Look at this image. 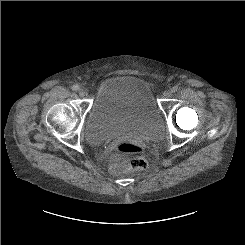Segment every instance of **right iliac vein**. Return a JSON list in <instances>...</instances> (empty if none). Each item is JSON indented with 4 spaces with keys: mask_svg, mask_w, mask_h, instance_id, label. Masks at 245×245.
<instances>
[{
    "mask_svg": "<svg viewBox=\"0 0 245 245\" xmlns=\"http://www.w3.org/2000/svg\"><path fill=\"white\" fill-rule=\"evenodd\" d=\"M78 94L80 97H84L87 95V91L84 88L79 89Z\"/></svg>",
    "mask_w": 245,
    "mask_h": 245,
    "instance_id": "right-iliac-vein-1",
    "label": "right iliac vein"
}]
</instances>
